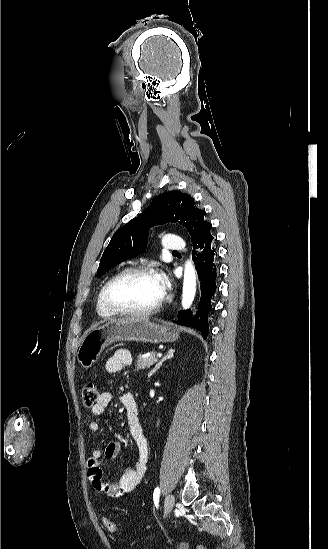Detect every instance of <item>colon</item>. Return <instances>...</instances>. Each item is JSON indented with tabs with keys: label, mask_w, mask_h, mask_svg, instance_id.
<instances>
[{
	"label": "colon",
	"mask_w": 328,
	"mask_h": 549,
	"mask_svg": "<svg viewBox=\"0 0 328 549\" xmlns=\"http://www.w3.org/2000/svg\"><path fill=\"white\" fill-rule=\"evenodd\" d=\"M99 396L100 389L95 383L88 382L84 385L82 389V402L85 407H93L96 404ZM103 522L106 530H108L109 532L114 533L117 531V526L112 520L105 518Z\"/></svg>",
	"instance_id": "colon-1"
}]
</instances>
